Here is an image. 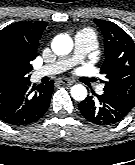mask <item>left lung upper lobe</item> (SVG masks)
<instances>
[{
	"label": "left lung upper lobe",
	"instance_id": "obj_1",
	"mask_svg": "<svg viewBox=\"0 0 135 165\" xmlns=\"http://www.w3.org/2000/svg\"><path fill=\"white\" fill-rule=\"evenodd\" d=\"M104 37V91L119 98L131 108L135 106V43L118 25L95 19Z\"/></svg>",
	"mask_w": 135,
	"mask_h": 165
}]
</instances>
